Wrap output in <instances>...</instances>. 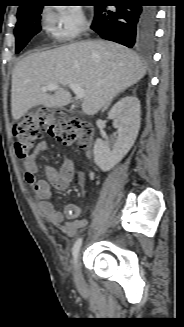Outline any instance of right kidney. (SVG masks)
Masks as SVG:
<instances>
[{"label": "right kidney", "instance_id": "obj_1", "mask_svg": "<svg viewBox=\"0 0 184 327\" xmlns=\"http://www.w3.org/2000/svg\"><path fill=\"white\" fill-rule=\"evenodd\" d=\"M140 101L135 96L120 99L109 111L108 117L118 130V137L111 151L105 141L97 139L94 145V161L106 172L112 169L131 149L140 129Z\"/></svg>", "mask_w": 184, "mask_h": 327}]
</instances>
